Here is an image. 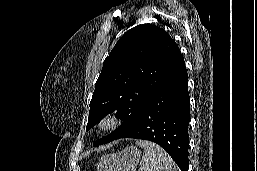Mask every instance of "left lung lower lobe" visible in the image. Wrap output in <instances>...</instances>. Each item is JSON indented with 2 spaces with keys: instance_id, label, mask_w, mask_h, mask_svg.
I'll return each mask as SVG.
<instances>
[{
  "instance_id": "0a47b994",
  "label": "left lung lower lobe",
  "mask_w": 257,
  "mask_h": 171,
  "mask_svg": "<svg viewBox=\"0 0 257 171\" xmlns=\"http://www.w3.org/2000/svg\"><path fill=\"white\" fill-rule=\"evenodd\" d=\"M189 102L188 75L179 52L132 124L113 140L136 138L153 141L168 152L181 171H188Z\"/></svg>"
}]
</instances>
